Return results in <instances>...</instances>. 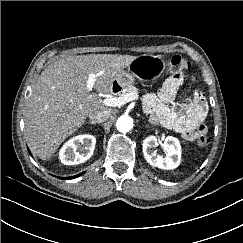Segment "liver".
<instances>
[{
    "mask_svg": "<svg viewBox=\"0 0 243 243\" xmlns=\"http://www.w3.org/2000/svg\"><path fill=\"white\" fill-rule=\"evenodd\" d=\"M134 59L130 55L69 56L47 66L32 88L25 110L29 146L42 160L80 128L91 111L105 108L103 100L87 89L90 74H100L94 88L108 94L117 75Z\"/></svg>",
    "mask_w": 243,
    "mask_h": 243,
    "instance_id": "1",
    "label": "liver"
}]
</instances>
